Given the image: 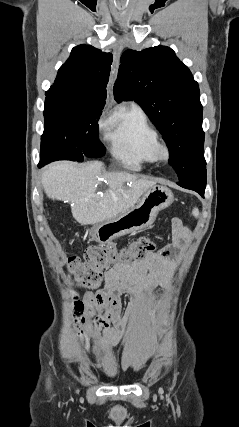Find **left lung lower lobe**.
I'll use <instances>...</instances> for the list:
<instances>
[{
  "instance_id": "1",
  "label": "left lung lower lobe",
  "mask_w": 239,
  "mask_h": 427,
  "mask_svg": "<svg viewBox=\"0 0 239 427\" xmlns=\"http://www.w3.org/2000/svg\"><path fill=\"white\" fill-rule=\"evenodd\" d=\"M177 184L183 188L191 189L204 197L206 187V166L199 169L194 175L185 180H178Z\"/></svg>"
}]
</instances>
